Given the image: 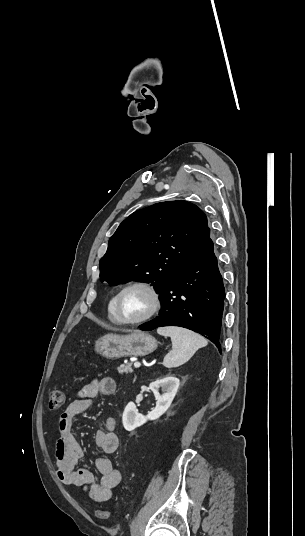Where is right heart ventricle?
Wrapping results in <instances>:
<instances>
[{
	"mask_svg": "<svg viewBox=\"0 0 305 536\" xmlns=\"http://www.w3.org/2000/svg\"><path fill=\"white\" fill-rule=\"evenodd\" d=\"M115 295L114 294L111 299L109 300L108 302V305H107V318L108 320L110 321L111 324L113 325H118V322H117V319L114 315V298H115Z\"/></svg>",
	"mask_w": 305,
	"mask_h": 536,
	"instance_id": "e07e8e85",
	"label": "right heart ventricle"
}]
</instances>
